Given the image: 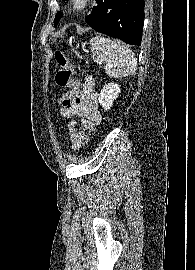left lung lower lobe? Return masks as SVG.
I'll return each instance as SVG.
<instances>
[{"label":"left lung lower lobe","instance_id":"left-lung-lower-lobe-1","mask_svg":"<svg viewBox=\"0 0 195 270\" xmlns=\"http://www.w3.org/2000/svg\"><path fill=\"white\" fill-rule=\"evenodd\" d=\"M97 6L86 16L95 31L131 45H141L144 24V0H96Z\"/></svg>","mask_w":195,"mask_h":270}]
</instances>
